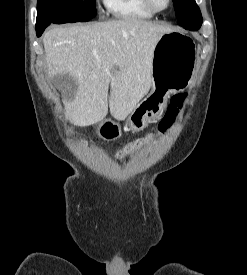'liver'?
<instances>
[{
    "mask_svg": "<svg viewBox=\"0 0 247 275\" xmlns=\"http://www.w3.org/2000/svg\"><path fill=\"white\" fill-rule=\"evenodd\" d=\"M168 32V27L138 18L47 31L48 77L68 74L77 84L74 92H62L66 118L90 126L102 121L109 107L115 119L124 120L149 92L154 47Z\"/></svg>",
    "mask_w": 247,
    "mask_h": 275,
    "instance_id": "obj_1",
    "label": "liver"
}]
</instances>
